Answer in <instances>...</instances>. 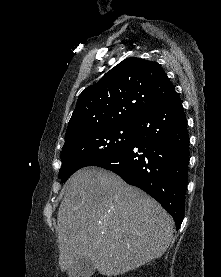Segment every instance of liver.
Listing matches in <instances>:
<instances>
[{
    "label": "liver",
    "mask_w": 221,
    "mask_h": 277,
    "mask_svg": "<svg viewBox=\"0 0 221 277\" xmlns=\"http://www.w3.org/2000/svg\"><path fill=\"white\" fill-rule=\"evenodd\" d=\"M57 223L61 271L88 258L108 277L160 258L174 227L157 201L97 167L78 170L68 179Z\"/></svg>",
    "instance_id": "6515ba94"
}]
</instances>
